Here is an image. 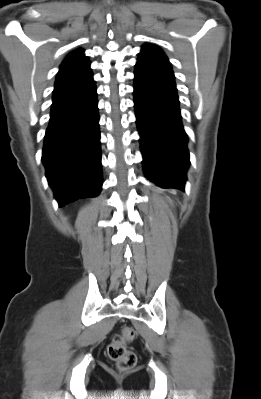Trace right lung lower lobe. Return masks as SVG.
Wrapping results in <instances>:
<instances>
[{
    "mask_svg": "<svg viewBox=\"0 0 261 399\" xmlns=\"http://www.w3.org/2000/svg\"><path fill=\"white\" fill-rule=\"evenodd\" d=\"M42 161L60 206L101 191L99 113L92 73L54 88Z\"/></svg>",
    "mask_w": 261,
    "mask_h": 399,
    "instance_id": "98d812e1",
    "label": "right lung lower lobe"
}]
</instances>
